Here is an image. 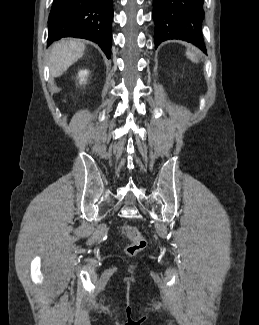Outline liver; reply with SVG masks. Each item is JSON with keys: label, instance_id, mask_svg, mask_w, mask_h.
<instances>
[{"label": "liver", "instance_id": "1", "mask_svg": "<svg viewBox=\"0 0 259 325\" xmlns=\"http://www.w3.org/2000/svg\"><path fill=\"white\" fill-rule=\"evenodd\" d=\"M85 51V45L77 40H61L52 45L49 65L51 75H62L72 64L80 59Z\"/></svg>", "mask_w": 259, "mask_h": 325}]
</instances>
